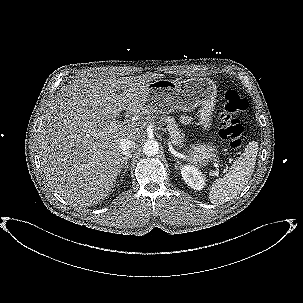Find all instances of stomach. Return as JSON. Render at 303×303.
<instances>
[{"instance_id": "stomach-1", "label": "stomach", "mask_w": 303, "mask_h": 303, "mask_svg": "<svg viewBox=\"0 0 303 303\" xmlns=\"http://www.w3.org/2000/svg\"><path fill=\"white\" fill-rule=\"evenodd\" d=\"M217 90L209 78H191L181 81L156 79L147 85L146 105L154 113L168 114L176 109L183 112L198 110V124L209 129ZM188 160L205 166L217 157L212 144H196L185 150Z\"/></svg>"}]
</instances>
